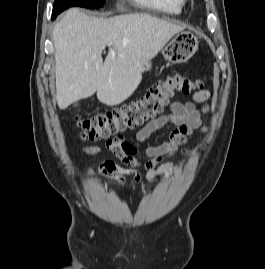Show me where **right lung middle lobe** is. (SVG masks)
Returning <instances> with one entry per match:
<instances>
[{"instance_id": "1", "label": "right lung middle lobe", "mask_w": 265, "mask_h": 269, "mask_svg": "<svg viewBox=\"0 0 265 269\" xmlns=\"http://www.w3.org/2000/svg\"><path fill=\"white\" fill-rule=\"evenodd\" d=\"M106 0H55L53 5V13L59 14L71 6H79L85 8H100Z\"/></svg>"}]
</instances>
